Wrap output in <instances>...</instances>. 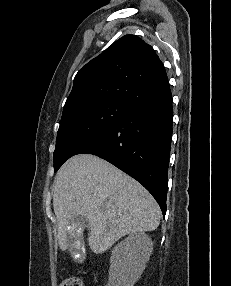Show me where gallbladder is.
Masks as SVG:
<instances>
[{"instance_id": "1", "label": "gallbladder", "mask_w": 231, "mask_h": 286, "mask_svg": "<svg viewBox=\"0 0 231 286\" xmlns=\"http://www.w3.org/2000/svg\"><path fill=\"white\" fill-rule=\"evenodd\" d=\"M89 222L84 217V214H73V217L70 218V222L67 224L68 235H70L69 240L67 241L70 249V256L76 260V263H83V259L86 251L84 248V239L83 238V230H88Z\"/></svg>"}]
</instances>
